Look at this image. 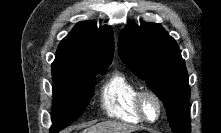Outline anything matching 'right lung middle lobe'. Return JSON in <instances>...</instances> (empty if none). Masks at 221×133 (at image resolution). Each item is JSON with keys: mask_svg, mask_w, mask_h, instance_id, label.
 I'll list each match as a JSON object with an SVG mask.
<instances>
[{"mask_svg": "<svg viewBox=\"0 0 221 133\" xmlns=\"http://www.w3.org/2000/svg\"><path fill=\"white\" fill-rule=\"evenodd\" d=\"M109 64H95L53 76V110L50 133H58L74 122L89 104L96 76L104 75Z\"/></svg>", "mask_w": 221, "mask_h": 133, "instance_id": "dd1d6c3e", "label": "right lung middle lobe"}]
</instances>
